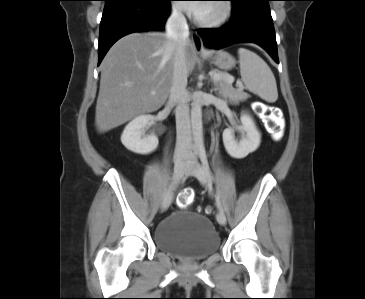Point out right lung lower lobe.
I'll return each instance as SVG.
<instances>
[{"instance_id": "1", "label": "right lung lower lobe", "mask_w": 365, "mask_h": 299, "mask_svg": "<svg viewBox=\"0 0 365 299\" xmlns=\"http://www.w3.org/2000/svg\"><path fill=\"white\" fill-rule=\"evenodd\" d=\"M171 0H112L105 3L100 23L98 65L121 37L138 31L161 30Z\"/></svg>"}]
</instances>
